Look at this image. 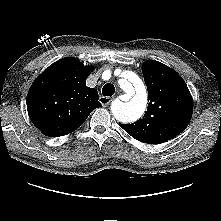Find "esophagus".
Listing matches in <instances>:
<instances>
[{"mask_svg":"<svg viewBox=\"0 0 221 221\" xmlns=\"http://www.w3.org/2000/svg\"><path fill=\"white\" fill-rule=\"evenodd\" d=\"M112 99H113L112 97L101 96L99 98V101L103 106H108L110 104V102L112 101Z\"/></svg>","mask_w":221,"mask_h":221,"instance_id":"obj_1","label":"esophagus"}]
</instances>
